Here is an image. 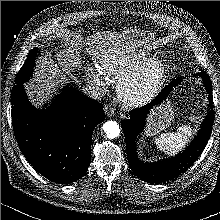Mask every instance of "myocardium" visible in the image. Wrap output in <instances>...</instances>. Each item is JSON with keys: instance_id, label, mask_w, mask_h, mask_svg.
Listing matches in <instances>:
<instances>
[{"instance_id": "f54148a6", "label": "myocardium", "mask_w": 220, "mask_h": 220, "mask_svg": "<svg viewBox=\"0 0 220 220\" xmlns=\"http://www.w3.org/2000/svg\"><path fill=\"white\" fill-rule=\"evenodd\" d=\"M167 64L160 56L147 58L136 69L121 77L117 92L129 106H140L149 102L159 91Z\"/></svg>"}]
</instances>
